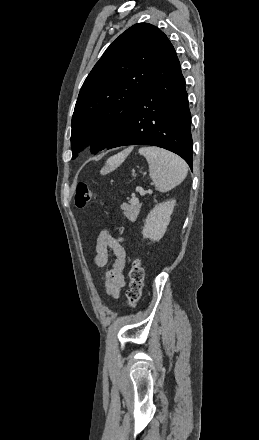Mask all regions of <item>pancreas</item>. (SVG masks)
I'll use <instances>...</instances> for the list:
<instances>
[{
  "label": "pancreas",
  "mask_w": 259,
  "mask_h": 440,
  "mask_svg": "<svg viewBox=\"0 0 259 440\" xmlns=\"http://www.w3.org/2000/svg\"><path fill=\"white\" fill-rule=\"evenodd\" d=\"M141 208V203L139 201L133 202V198L130 200L128 204H123L121 209L123 210V214L131 221H134Z\"/></svg>",
  "instance_id": "cf45deb5"
}]
</instances>
